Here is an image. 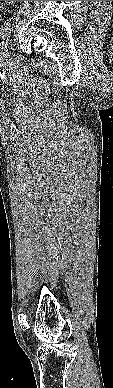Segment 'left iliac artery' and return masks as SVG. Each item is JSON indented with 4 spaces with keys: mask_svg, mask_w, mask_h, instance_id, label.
<instances>
[{
    "mask_svg": "<svg viewBox=\"0 0 113 388\" xmlns=\"http://www.w3.org/2000/svg\"><path fill=\"white\" fill-rule=\"evenodd\" d=\"M11 31H12V26H11L10 23H8L4 27L3 31L0 34V38H1V41H0V51H1V53L6 51Z\"/></svg>",
    "mask_w": 113,
    "mask_h": 388,
    "instance_id": "obj_1",
    "label": "left iliac artery"
}]
</instances>
